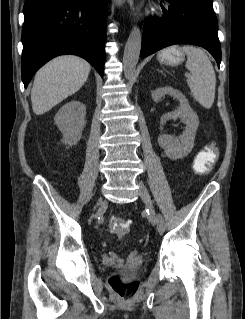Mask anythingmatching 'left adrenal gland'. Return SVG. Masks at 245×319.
Here are the masks:
<instances>
[{
    "label": "left adrenal gland",
    "instance_id": "left-adrenal-gland-1",
    "mask_svg": "<svg viewBox=\"0 0 245 319\" xmlns=\"http://www.w3.org/2000/svg\"><path fill=\"white\" fill-rule=\"evenodd\" d=\"M160 73L164 74V72L162 70H158Z\"/></svg>",
    "mask_w": 245,
    "mask_h": 319
}]
</instances>
